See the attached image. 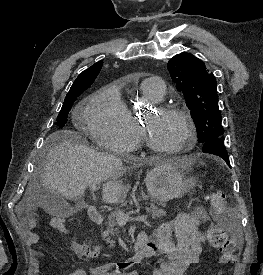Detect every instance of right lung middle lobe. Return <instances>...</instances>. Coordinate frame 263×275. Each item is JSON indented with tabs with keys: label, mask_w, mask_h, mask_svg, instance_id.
Instances as JSON below:
<instances>
[{
	"label": "right lung middle lobe",
	"mask_w": 263,
	"mask_h": 275,
	"mask_svg": "<svg viewBox=\"0 0 263 275\" xmlns=\"http://www.w3.org/2000/svg\"><path fill=\"white\" fill-rule=\"evenodd\" d=\"M86 89L78 90L76 92L67 94L65 97V101L63 103V106L58 114L57 117V125L62 128L65 123L67 122L68 112L71 110L72 104L76 100V98L83 93V91Z\"/></svg>",
	"instance_id": "dd1d6c3e"
}]
</instances>
